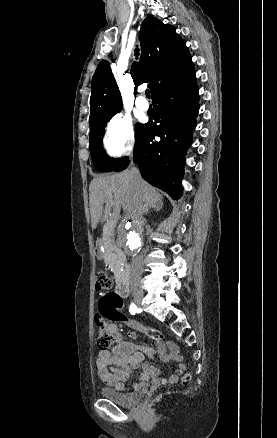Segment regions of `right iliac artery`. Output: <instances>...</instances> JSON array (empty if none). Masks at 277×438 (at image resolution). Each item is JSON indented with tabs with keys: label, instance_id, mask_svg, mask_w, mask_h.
Segmentation results:
<instances>
[{
	"label": "right iliac artery",
	"instance_id": "1",
	"mask_svg": "<svg viewBox=\"0 0 277 438\" xmlns=\"http://www.w3.org/2000/svg\"><path fill=\"white\" fill-rule=\"evenodd\" d=\"M138 311L137 306L134 303H131L130 307H129V312L134 315L136 314Z\"/></svg>",
	"mask_w": 277,
	"mask_h": 438
}]
</instances>
